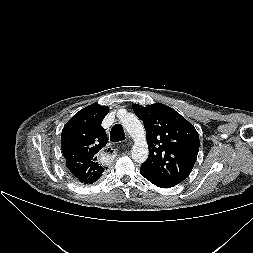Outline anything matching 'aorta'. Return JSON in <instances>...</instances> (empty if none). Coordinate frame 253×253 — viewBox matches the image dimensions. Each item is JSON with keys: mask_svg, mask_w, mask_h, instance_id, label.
Listing matches in <instances>:
<instances>
[{"mask_svg": "<svg viewBox=\"0 0 253 253\" xmlns=\"http://www.w3.org/2000/svg\"><path fill=\"white\" fill-rule=\"evenodd\" d=\"M119 119L122 127L134 139L132 158L138 163H143L148 157V146L143 124L132 113L122 114Z\"/></svg>", "mask_w": 253, "mask_h": 253, "instance_id": "aorta-1", "label": "aorta"}]
</instances>
